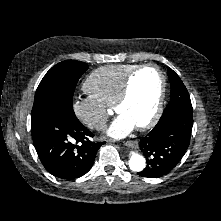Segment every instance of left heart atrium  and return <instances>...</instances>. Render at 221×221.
Masks as SVG:
<instances>
[{
  "label": "left heart atrium",
  "mask_w": 221,
  "mask_h": 221,
  "mask_svg": "<svg viewBox=\"0 0 221 221\" xmlns=\"http://www.w3.org/2000/svg\"><path fill=\"white\" fill-rule=\"evenodd\" d=\"M135 124L125 115L120 114L107 128L106 133L112 138H122L135 129Z\"/></svg>",
  "instance_id": "obj_1"
}]
</instances>
